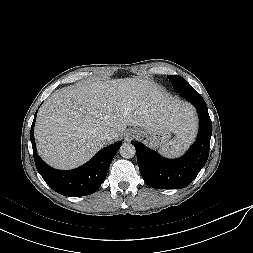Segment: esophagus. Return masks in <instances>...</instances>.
Returning <instances> with one entry per match:
<instances>
[{
  "mask_svg": "<svg viewBox=\"0 0 253 253\" xmlns=\"http://www.w3.org/2000/svg\"><path fill=\"white\" fill-rule=\"evenodd\" d=\"M134 136V133H127L125 139L129 141L130 139L134 138Z\"/></svg>",
  "mask_w": 253,
  "mask_h": 253,
  "instance_id": "1",
  "label": "esophagus"
}]
</instances>
